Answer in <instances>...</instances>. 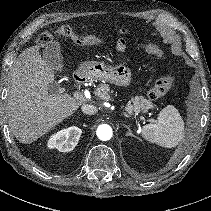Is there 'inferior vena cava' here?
Instances as JSON below:
<instances>
[{
  "mask_svg": "<svg viewBox=\"0 0 211 211\" xmlns=\"http://www.w3.org/2000/svg\"><path fill=\"white\" fill-rule=\"evenodd\" d=\"M81 110L83 113L91 115L97 113L98 111L97 107L91 104H83Z\"/></svg>",
  "mask_w": 211,
  "mask_h": 211,
  "instance_id": "1",
  "label": "inferior vena cava"
}]
</instances>
